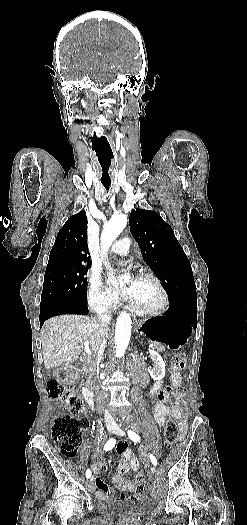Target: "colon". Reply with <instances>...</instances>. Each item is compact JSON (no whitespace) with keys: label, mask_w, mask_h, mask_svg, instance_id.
I'll list each match as a JSON object with an SVG mask.
<instances>
[{"label":"colon","mask_w":247,"mask_h":525,"mask_svg":"<svg viewBox=\"0 0 247 525\" xmlns=\"http://www.w3.org/2000/svg\"><path fill=\"white\" fill-rule=\"evenodd\" d=\"M174 365L175 368H169V375L174 376L178 372H184L186 369V355L182 352H177L174 355ZM47 388L49 396L59 400L67 408V413L54 419L52 438L63 457L73 458L79 451L83 433L89 427L86 405L82 397L73 388L65 387L57 380H50ZM177 438V424L174 419L170 418L165 426V444L171 446L177 441ZM137 481L140 484L139 496H142L145 488L144 476L140 474Z\"/></svg>","instance_id":"colon-1"}]
</instances>
